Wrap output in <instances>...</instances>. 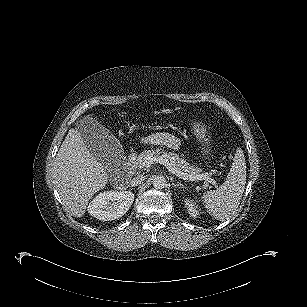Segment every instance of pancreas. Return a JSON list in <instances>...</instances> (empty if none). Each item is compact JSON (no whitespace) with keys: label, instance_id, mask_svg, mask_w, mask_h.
<instances>
[{"label":"pancreas","instance_id":"1","mask_svg":"<svg viewBox=\"0 0 307 307\" xmlns=\"http://www.w3.org/2000/svg\"><path fill=\"white\" fill-rule=\"evenodd\" d=\"M148 155L162 156L163 159L169 161L174 167H176L177 169L181 170L182 172L188 175H199L202 172L201 168L191 166L188 162L180 158L177 154L166 152L160 148L156 150L144 151L137 157L136 163L140 169L145 168V166H143V159Z\"/></svg>","mask_w":307,"mask_h":307}]
</instances>
